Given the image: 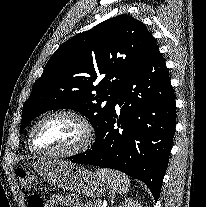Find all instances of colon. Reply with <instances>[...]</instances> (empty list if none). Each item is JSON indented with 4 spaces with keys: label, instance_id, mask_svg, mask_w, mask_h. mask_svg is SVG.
I'll return each instance as SVG.
<instances>
[{
    "label": "colon",
    "instance_id": "colon-1",
    "mask_svg": "<svg viewBox=\"0 0 206 207\" xmlns=\"http://www.w3.org/2000/svg\"><path fill=\"white\" fill-rule=\"evenodd\" d=\"M15 174L22 191L29 195V207H46L45 201L34 193L36 187L35 177L23 168H18Z\"/></svg>",
    "mask_w": 206,
    "mask_h": 207
}]
</instances>
